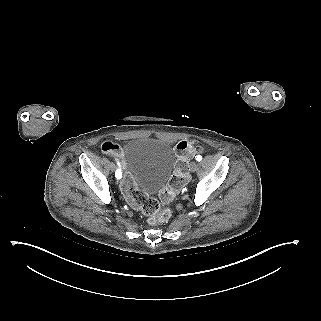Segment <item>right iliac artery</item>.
Returning <instances> with one entry per match:
<instances>
[{
	"instance_id": "1",
	"label": "right iliac artery",
	"mask_w": 321,
	"mask_h": 321,
	"mask_svg": "<svg viewBox=\"0 0 321 321\" xmlns=\"http://www.w3.org/2000/svg\"><path fill=\"white\" fill-rule=\"evenodd\" d=\"M115 176H116L117 179H120V178H121L122 173H121V171H120L119 169L116 170Z\"/></svg>"
}]
</instances>
